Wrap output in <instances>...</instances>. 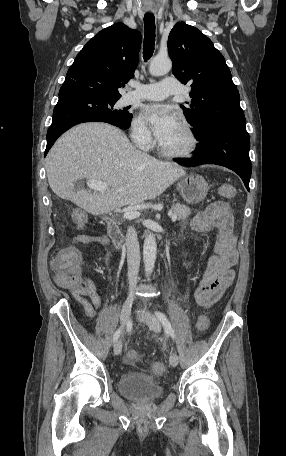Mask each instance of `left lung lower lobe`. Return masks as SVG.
<instances>
[{
    "label": "left lung lower lobe",
    "instance_id": "0a47b994",
    "mask_svg": "<svg viewBox=\"0 0 286 456\" xmlns=\"http://www.w3.org/2000/svg\"><path fill=\"white\" fill-rule=\"evenodd\" d=\"M197 146L193 158L175 160L178 164L192 167L202 164H216L236 172L249 191L251 161L249 158L250 138L246 128L228 125L214 126L196 137Z\"/></svg>",
    "mask_w": 286,
    "mask_h": 456
}]
</instances>
